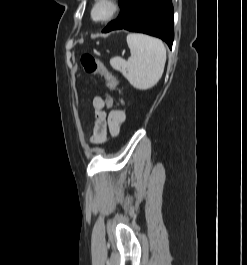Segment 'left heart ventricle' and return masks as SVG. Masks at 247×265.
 Masks as SVG:
<instances>
[{
  "instance_id": "1",
  "label": "left heart ventricle",
  "mask_w": 247,
  "mask_h": 265,
  "mask_svg": "<svg viewBox=\"0 0 247 265\" xmlns=\"http://www.w3.org/2000/svg\"><path fill=\"white\" fill-rule=\"evenodd\" d=\"M105 13V8L104 7H100V8H98V10H97V12H96V14L98 15V16H101V15H103Z\"/></svg>"
}]
</instances>
